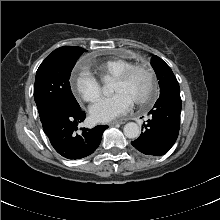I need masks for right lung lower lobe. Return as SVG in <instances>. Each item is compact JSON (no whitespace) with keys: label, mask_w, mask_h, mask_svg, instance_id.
I'll use <instances>...</instances> for the list:
<instances>
[{"label":"right lung lower lobe","mask_w":220,"mask_h":220,"mask_svg":"<svg viewBox=\"0 0 220 220\" xmlns=\"http://www.w3.org/2000/svg\"><path fill=\"white\" fill-rule=\"evenodd\" d=\"M86 114L81 110L59 109L41 120L43 130L54 149L68 159H80L92 154L99 146L107 125H98L93 129L81 128Z\"/></svg>","instance_id":"98d812e1"}]
</instances>
